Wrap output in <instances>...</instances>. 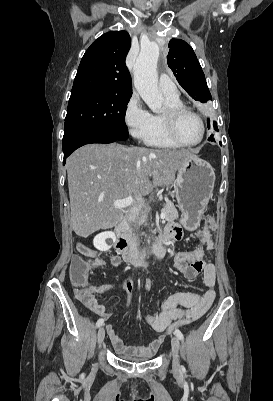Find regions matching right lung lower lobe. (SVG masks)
Wrapping results in <instances>:
<instances>
[{"label":"right lung lower lobe","instance_id":"obj_1","mask_svg":"<svg viewBox=\"0 0 273 401\" xmlns=\"http://www.w3.org/2000/svg\"><path fill=\"white\" fill-rule=\"evenodd\" d=\"M116 137L101 134L92 130H74L64 134L62 147L64 152V161L77 148L90 143H112L119 142Z\"/></svg>","mask_w":273,"mask_h":401}]
</instances>
